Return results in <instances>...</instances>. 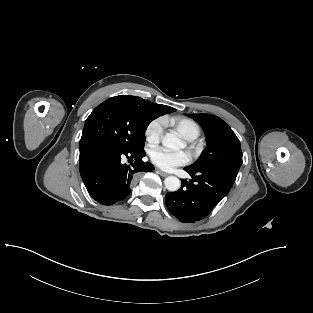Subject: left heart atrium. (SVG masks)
Segmentation results:
<instances>
[{
  "label": "left heart atrium",
  "instance_id": "39dd6f15",
  "mask_svg": "<svg viewBox=\"0 0 313 313\" xmlns=\"http://www.w3.org/2000/svg\"><path fill=\"white\" fill-rule=\"evenodd\" d=\"M150 159L163 170H172L189 162V154L185 151H171L163 147H155L150 151Z\"/></svg>",
  "mask_w": 313,
  "mask_h": 313
}]
</instances>
